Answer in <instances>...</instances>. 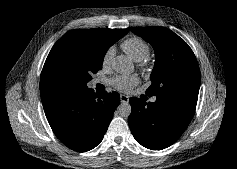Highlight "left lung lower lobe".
I'll return each instance as SVG.
<instances>
[{"instance_id":"left-lung-lower-lobe-1","label":"left lung lower lobe","mask_w":237,"mask_h":169,"mask_svg":"<svg viewBox=\"0 0 237 169\" xmlns=\"http://www.w3.org/2000/svg\"><path fill=\"white\" fill-rule=\"evenodd\" d=\"M197 98L168 94L157 96L154 103L131 98L132 112L128 121L136 141L152 150H162L172 145L189 125Z\"/></svg>"}]
</instances>
